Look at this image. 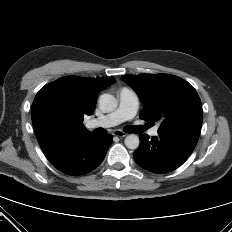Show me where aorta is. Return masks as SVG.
Returning a JSON list of instances; mask_svg holds the SVG:
<instances>
[{
    "label": "aorta",
    "instance_id": "1",
    "mask_svg": "<svg viewBox=\"0 0 232 232\" xmlns=\"http://www.w3.org/2000/svg\"><path fill=\"white\" fill-rule=\"evenodd\" d=\"M118 106L117 99L111 94H102L99 98V107L103 112L109 113L114 111ZM125 146L129 149H137L140 144L139 137L135 134L128 135L125 140Z\"/></svg>",
    "mask_w": 232,
    "mask_h": 232
}]
</instances>
